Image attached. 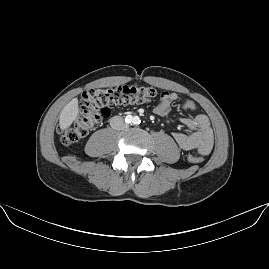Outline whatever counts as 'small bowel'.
<instances>
[{
    "label": "small bowel",
    "mask_w": 269,
    "mask_h": 269,
    "mask_svg": "<svg viewBox=\"0 0 269 269\" xmlns=\"http://www.w3.org/2000/svg\"><path fill=\"white\" fill-rule=\"evenodd\" d=\"M177 100V93L165 92L155 107V113L159 116L168 115L171 105ZM182 109L184 111H195L196 105L192 100L187 99L182 103ZM180 121L192 133L174 132L173 138L178 146L186 151L196 150L199 155L209 154L214 145V131L208 117L200 114L192 118L182 117Z\"/></svg>",
    "instance_id": "1"
}]
</instances>
